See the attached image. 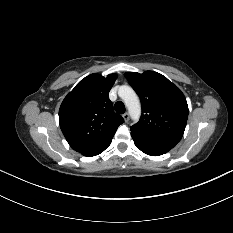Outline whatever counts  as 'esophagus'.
Instances as JSON below:
<instances>
[{
  "label": "esophagus",
  "mask_w": 233,
  "mask_h": 233,
  "mask_svg": "<svg viewBox=\"0 0 233 233\" xmlns=\"http://www.w3.org/2000/svg\"><path fill=\"white\" fill-rule=\"evenodd\" d=\"M123 119L125 122H127L129 120V113L128 112L123 114Z\"/></svg>",
  "instance_id": "obj_1"
}]
</instances>
